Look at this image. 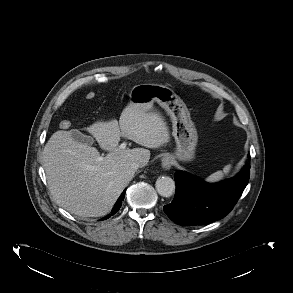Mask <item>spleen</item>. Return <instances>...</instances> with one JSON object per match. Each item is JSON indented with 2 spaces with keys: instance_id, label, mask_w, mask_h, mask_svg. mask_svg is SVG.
<instances>
[{
  "instance_id": "obj_1",
  "label": "spleen",
  "mask_w": 293,
  "mask_h": 293,
  "mask_svg": "<svg viewBox=\"0 0 293 293\" xmlns=\"http://www.w3.org/2000/svg\"><path fill=\"white\" fill-rule=\"evenodd\" d=\"M231 170V164L226 165L223 170L217 171L206 178L209 183H216L221 181L225 175Z\"/></svg>"
}]
</instances>
